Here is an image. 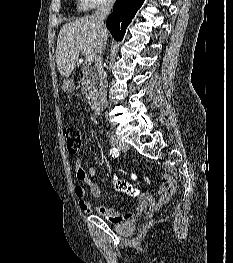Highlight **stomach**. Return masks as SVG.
Masks as SVG:
<instances>
[{
	"instance_id": "stomach-1",
	"label": "stomach",
	"mask_w": 233,
	"mask_h": 263,
	"mask_svg": "<svg viewBox=\"0 0 233 263\" xmlns=\"http://www.w3.org/2000/svg\"><path fill=\"white\" fill-rule=\"evenodd\" d=\"M73 87H74V84L72 80L62 81V88H64L66 92H71L73 90Z\"/></svg>"
}]
</instances>
